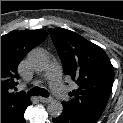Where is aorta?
I'll return each mask as SVG.
<instances>
[{"label": "aorta", "instance_id": "1", "mask_svg": "<svg viewBox=\"0 0 123 123\" xmlns=\"http://www.w3.org/2000/svg\"><path fill=\"white\" fill-rule=\"evenodd\" d=\"M27 60L29 65L37 71L45 70L49 63L48 55L41 49H33L28 54ZM62 111V103L58 100H51L47 105V112L52 117L60 116Z\"/></svg>", "mask_w": 123, "mask_h": 123}]
</instances>
